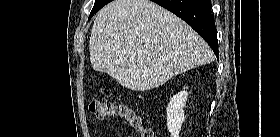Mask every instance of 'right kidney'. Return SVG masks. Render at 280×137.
I'll return each mask as SVG.
<instances>
[{"label":"right kidney","instance_id":"1","mask_svg":"<svg viewBox=\"0 0 280 137\" xmlns=\"http://www.w3.org/2000/svg\"><path fill=\"white\" fill-rule=\"evenodd\" d=\"M188 92L186 88L174 95L167 107V128L171 137H178L185 120L184 107L187 102Z\"/></svg>","mask_w":280,"mask_h":137}]
</instances>
